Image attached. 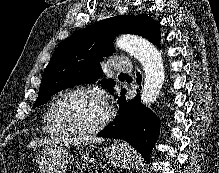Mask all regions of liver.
<instances>
[{
  "instance_id": "obj_1",
  "label": "liver",
  "mask_w": 219,
  "mask_h": 173,
  "mask_svg": "<svg viewBox=\"0 0 219 173\" xmlns=\"http://www.w3.org/2000/svg\"><path fill=\"white\" fill-rule=\"evenodd\" d=\"M85 142L87 143H101L104 141V139L102 138H98V137H89V138H85L84 139ZM52 140L50 139H36V140H33L32 142L29 143L28 147H35V146H43V145H46V144H49L51 143ZM75 144V143H78V140H74V139H65L64 140V144L65 145H68V144Z\"/></svg>"
}]
</instances>
